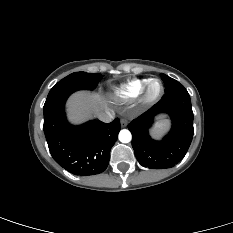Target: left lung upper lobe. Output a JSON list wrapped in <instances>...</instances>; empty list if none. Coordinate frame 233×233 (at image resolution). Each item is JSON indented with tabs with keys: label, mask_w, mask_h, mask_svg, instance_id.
Segmentation results:
<instances>
[{
	"label": "left lung upper lobe",
	"mask_w": 233,
	"mask_h": 233,
	"mask_svg": "<svg viewBox=\"0 0 233 233\" xmlns=\"http://www.w3.org/2000/svg\"><path fill=\"white\" fill-rule=\"evenodd\" d=\"M161 78L165 84L166 91L173 89L175 86L179 85L180 83L175 79L161 73Z\"/></svg>",
	"instance_id": "5c2ea615"
}]
</instances>
